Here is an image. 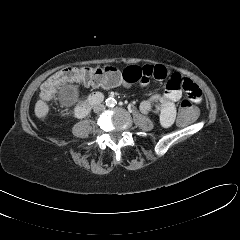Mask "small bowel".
Here are the masks:
<instances>
[{
  "label": "small bowel",
  "mask_w": 240,
  "mask_h": 240,
  "mask_svg": "<svg viewBox=\"0 0 240 240\" xmlns=\"http://www.w3.org/2000/svg\"><path fill=\"white\" fill-rule=\"evenodd\" d=\"M151 78L166 80V89L162 93L152 95L149 99L140 104L143 114H149L152 110L159 117V122L163 127H169L175 120L176 103L186 94L193 103L201 101V90L189 78L178 72H170L163 65H143L128 66L124 69L120 80L114 84L95 85L97 87H113L118 85H131L138 83L146 86Z\"/></svg>",
  "instance_id": "c3829d8e"
}]
</instances>
